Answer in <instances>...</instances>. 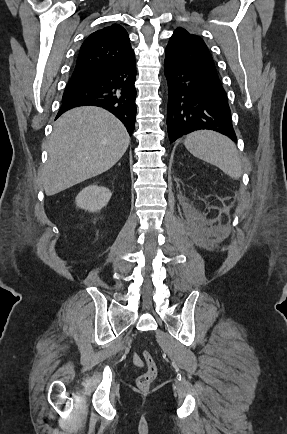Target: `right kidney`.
I'll list each match as a JSON object with an SVG mask.
<instances>
[{
    "mask_svg": "<svg viewBox=\"0 0 287 434\" xmlns=\"http://www.w3.org/2000/svg\"><path fill=\"white\" fill-rule=\"evenodd\" d=\"M111 196L112 193L108 188L92 184L80 191L75 202L79 208L90 212H98L107 205Z\"/></svg>",
    "mask_w": 287,
    "mask_h": 434,
    "instance_id": "obj_1",
    "label": "right kidney"
}]
</instances>
